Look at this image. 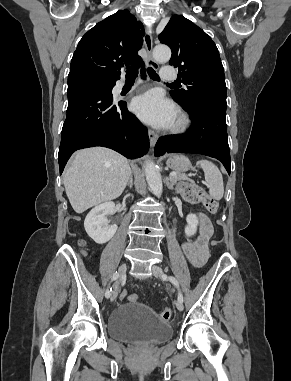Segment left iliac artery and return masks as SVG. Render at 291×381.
I'll return each mask as SVG.
<instances>
[{"instance_id": "44dca946", "label": "left iliac artery", "mask_w": 291, "mask_h": 381, "mask_svg": "<svg viewBox=\"0 0 291 381\" xmlns=\"http://www.w3.org/2000/svg\"><path fill=\"white\" fill-rule=\"evenodd\" d=\"M163 278H167L172 284H174L176 287H179L178 280L174 276H166L164 275ZM178 299L183 302V295L181 292L178 294Z\"/></svg>"}]
</instances>
